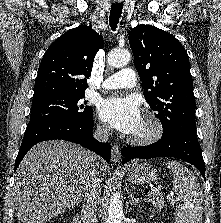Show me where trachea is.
Masks as SVG:
<instances>
[{
	"label": "trachea",
	"instance_id": "3493384b",
	"mask_svg": "<svg viewBox=\"0 0 221 223\" xmlns=\"http://www.w3.org/2000/svg\"><path fill=\"white\" fill-rule=\"evenodd\" d=\"M123 3H112L110 11V26L115 30L122 14Z\"/></svg>",
	"mask_w": 221,
	"mask_h": 223
}]
</instances>
